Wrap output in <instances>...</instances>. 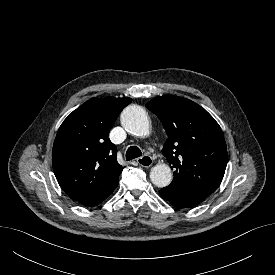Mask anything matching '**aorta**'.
<instances>
[{"instance_id":"1","label":"aorta","mask_w":275,"mask_h":275,"mask_svg":"<svg viewBox=\"0 0 275 275\" xmlns=\"http://www.w3.org/2000/svg\"><path fill=\"white\" fill-rule=\"evenodd\" d=\"M121 124L126 131L136 136L145 137L150 133L148 115L138 105H130L123 110ZM150 179L159 188L168 186L172 181L170 167L166 164L154 166L150 172Z\"/></svg>"}]
</instances>
